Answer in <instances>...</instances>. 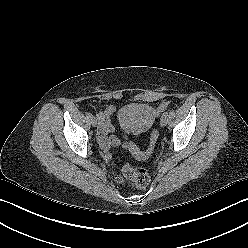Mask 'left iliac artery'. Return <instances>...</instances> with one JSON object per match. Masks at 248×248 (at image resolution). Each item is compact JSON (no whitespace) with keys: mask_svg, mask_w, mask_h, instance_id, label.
<instances>
[{"mask_svg":"<svg viewBox=\"0 0 248 248\" xmlns=\"http://www.w3.org/2000/svg\"><path fill=\"white\" fill-rule=\"evenodd\" d=\"M164 116H168V112L163 113Z\"/></svg>","mask_w":248,"mask_h":248,"instance_id":"obj_1","label":"left iliac artery"}]
</instances>
